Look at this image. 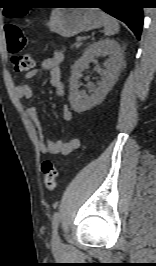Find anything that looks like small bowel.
I'll use <instances>...</instances> for the list:
<instances>
[{"label": "small bowel", "instance_id": "c3829d8e", "mask_svg": "<svg viewBox=\"0 0 156 266\" xmlns=\"http://www.w3.org/2000/svg\"><path fill=\"white\" fill-rule=\"evenodd\" d=\"M63 55L56 52L52 57L45 59L39 69H34L26 74V78L34 77L39 70L49 71L50 84L58 96L64 95V83L62 81L61 63ZM16 96L20 100H31L33 97V90L28 84H21L16 87ZM28 118L35 124L40 133V140L38 148L43 154H62L68 155L80 147V140L72 138L66 141L52 140L49 138L48 132L41 127L38 110L34 106L27 108ZM62 117L65 121L72 119V111L67 105L62 108Z\"/></svg>", "mask_w": 156, "mask_h": 266}]
</instances>
